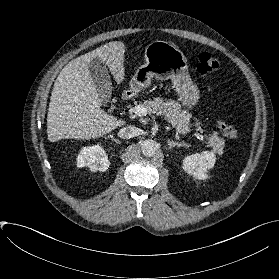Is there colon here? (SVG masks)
Here are the masks:
<instances>
[{"label": "colon", "instance_id": "5ec220e1", "mask_svg": "<svg viewBox=\"0 0 279 279\" xmlns=\"http://www.w3.org/2000/svg\"><path fill=\"white\" fill-rule=\"evenodd\" d=\"M219 68L218 60L208 52H202L198 57L197 72L201 75H207L217 71ZM218 127L221 133L229 138L236 139L238 131L224 119L218 121Z\"/></svg>", "mask_w": 279, "mask_h": 279}]
</instances>
